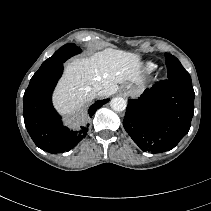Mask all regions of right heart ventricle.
<instances>
[{"mask_svg": "<svg viewBox=\"0 0 211 211\" xmlns=\"http://www.w3.org/2000/svg\"><path fill=\"white\" fill-rule=\"evenodd\" d=\"M155 68H156V65L151 62H148L144 67L145 71L148 73L154 71Z\"/></svg>", "mask_w": 211, "mask_h": 211, "instance_id": "obj_1", "label": "right heart ventricle"}]
</instances>
